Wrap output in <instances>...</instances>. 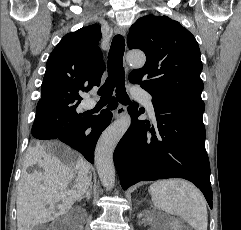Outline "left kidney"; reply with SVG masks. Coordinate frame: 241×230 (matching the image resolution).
<instances>
[{"instance_id":"left-kidney-1","label":"left kidney","mask_w":241,"mask_h":230,"mask_svg":"<svg viewBox=\"0 0 241 230\" xmlns=\"http://www.w3.org/2000/svg\"><path fill=\"white\" fill-rule=\"evenodd\" d=\"M149 230H182V227L178 225H174L172 228L169 227L168 225H162V226L152 225V227Z\"/></svg>"}]
</instances>
